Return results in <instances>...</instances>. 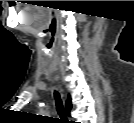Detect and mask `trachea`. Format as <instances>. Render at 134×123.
<instances>
[{
  "label": "trachea",
  "instance_id": "trachea-1",
  "mask_svg": "<svg viewBox=\"0 0 134 123\" xmlns=\"http://www.w3.org/2000/svg\"><path fill=\"white\" fill-rule=\"evenodd\" d=\"M54 96H55V102H56V108H57V112L61 117V120H65V111H64V107L62 105V101L60 99V95L57 91L54 92Z\"/></svg>",
  "mask_w": 134,
  "mask_h": 123
}]
</instances>
